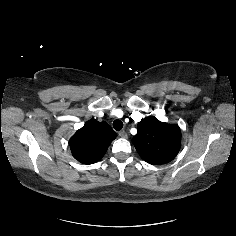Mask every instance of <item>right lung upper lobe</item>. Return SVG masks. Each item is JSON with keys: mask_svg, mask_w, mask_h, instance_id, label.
Here are the masks:
<instances>
[{"mask_svg": "<svg viewBox=\"0 0 236 236\" xmlns=\"http://www.w3.org/2000/svg\"><path fill=\"white\" fill-rule=\"evenodd\" d=\"M116 133L105 122L87 121L69 141L73 157L81 163L93 164L106 153Z\"/></svg>", "mask_w": 236, "mask_h": 236, "instance_id": "1", "label": "right lung upper lobe"}]
</instances>
